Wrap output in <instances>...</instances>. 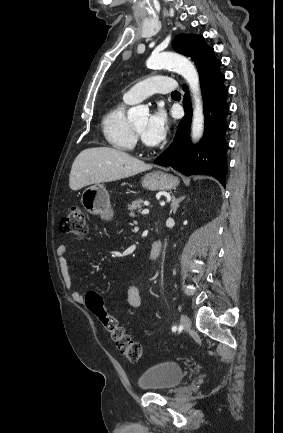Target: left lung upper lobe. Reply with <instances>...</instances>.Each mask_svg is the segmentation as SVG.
<instances>
[{
    "mask_svg": "<svg viewBox=\"0 0 283 433\" xmlns=\"http://www.w3.org/2000/svg\"><path fill=\"white\" fill-rule=\"evenodd\" d=\"M172 46L175 51L191 57L193 61L210 48L205 44L202 36L185 34L177 35L173 40Z\"/></svg>",
    "mask_w": 283,
    "mask_h": 433,
    "instance_id": "obj_1",
    "label": "left lung upper lobe"
}]
</instances>
